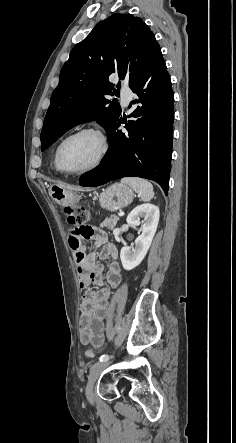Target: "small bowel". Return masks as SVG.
<instances>
[{"mask_svg":"<svg viewBox=\"0 0 236 443\" xmlns=\"http://www.w3.org/2000/svg\"><path fill=\"white\" fill-rule=\"evenodd\" d=\"M94 248L101 247L99 257L110 259L108 270L105 276L106 282L111 288H117L122 281L121 266L117 261L118 250L115 245L108 242L105 231L92 227ZM83 239L79 234H70L68 242L74 252V259L77 268L78 282L81 288H87L92 282L102 283L103 267L96 263L94 251L86 253L82 248ZM111 290L101 288L97 291L86 292L80 305L79 332L82 344H93L99 346L103 341L104 319L109 307Z\"/></svg>","mask_w":236,"mask_h":443,"instance_id":"1","label":"small bowel"}]
</instances>
